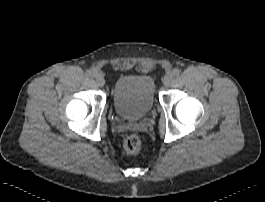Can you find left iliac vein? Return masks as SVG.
Masks as SVG:
<instances>
[{
  "mask_svg": "<svg viewBox=\"0 0 265 202\" xmlns=\"http://www.w3.org/2000/svg\"><path fill=\"white\" fill-rule=\"evenodd\" d=\"M173 77L174 74L172 72H168L163 79V84L165 86H169L172 83Z\"/></svg>",
  "mask_w": 265,
  "mask_h": 202,
  "instance_id": "left-iliac-vein-1",
  "label": "left iliac vein"
}]
</instances>
